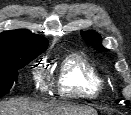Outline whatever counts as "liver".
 Here are the masks:
<instances>
[{"instance_id": "obj_1", "label": "liver", "mask_w": 131, "mask_h": 115, "mask_svg": "<svg viewBox=\"0 0 131 115\" xmlns=\"http://www.w3.org/2000/svg\"><path fill=\"white\" fill-rule=\"evenodd\" d=\"M0 115H97L89 107L65 104H43L27 99L0 102Z\"/></svg>"}]
</instances>
